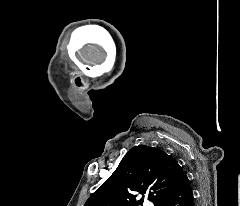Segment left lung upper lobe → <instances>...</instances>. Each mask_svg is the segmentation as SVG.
I'll return each instance as SVG.
<instances>
[{"mask_svg": "<svg viewBox=\"0 0 240 206\" xmlns=\"http://www.w3.org/2000/svg\"><path fill=\"white\" fill-rule=\"evenodd\" d=\"M179 167L171 155L158 148L134 146L84 206H142L146 199L162 206Z\"/></svg>", "mask_w": 240, "mask_h": 206, "instance_id": "left-lung-upper-lobe-1", "label": "left lung upper lobe"}]
</instances>
